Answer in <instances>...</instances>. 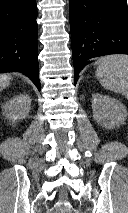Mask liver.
<instances>
[{
	"label": "liver",
	"instance_id": "1",
	"mask_svg": "<svg viewBox=\"0 0 128 213\" xmlns=\"http://www.w3.org/2000/svg\"><path fill=\"white\" fill-rule=\"evenodd\" d=\"M11 76L8 74H0V91L10 85Z\"/></svg>",
	"mask_w": 128,
	"mask_h": 213
}]
</instances>
